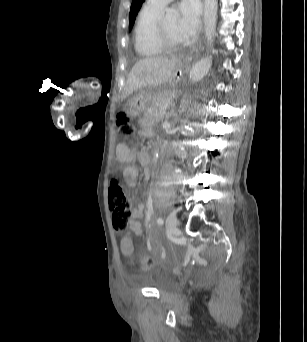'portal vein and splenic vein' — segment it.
Here are the masks:
<instances>
[{
    "label": "portal vein and splenic vein",
    "mask_w": 307,
    "mask_h": 342,
    "mask_svg": "<svg viewBox=\"0 0 307 342\" xmlns=\"http://www.w3.org/2000/svg\"><path fill=\"white\" fill-rule=\"evenodd\" d=\"M161 109H162L163 111H167V110H168V107H167V106H163Z\"/></svg>",
    "instance_id": "18ae733b"
}]
</instances>
